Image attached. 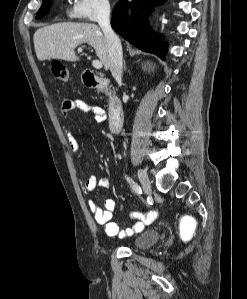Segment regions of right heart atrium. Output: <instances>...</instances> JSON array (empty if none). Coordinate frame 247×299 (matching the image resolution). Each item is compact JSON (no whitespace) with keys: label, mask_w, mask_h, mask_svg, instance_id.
Here are the masks:
<instances>
[{"label":"right heart atrium","mask_w":247,"mask_h":299,"mask_svg":"<svg viewBox=\"0 0 247 299\" xmlns=\"http://www.w3.org/2000/svg\"><path fill=\"white\" fill-rule=\"evenodd\" d=\"M109 13V0H71L69 8V16L74 19L94 21Z\"/></svg>","instance_id":"right-heart-atrium-1"}]
</instances>
